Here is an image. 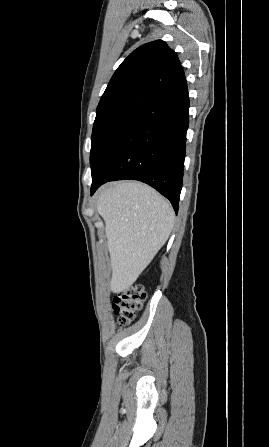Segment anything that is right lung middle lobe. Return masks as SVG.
<instances>
[{
  "mask_svg": "<svg viewBox=\"0 0 269 447\" xmlns=\"http://www.w3.org/2000/svg\"><path fill=\"white\" fill-rule=\"evenodd\" d=\"M137 107H121L113 111L96 116L93 131L90 162L94 163L97 155L112 137L114 132L123 122V120L132 112L138 110Z\"/></svg>",
  "mask_w": 269,
  "mask_h": 447,
  "instance_id": "obj_1",
  "label": "right lung middle lobe"
}]
</instances>
